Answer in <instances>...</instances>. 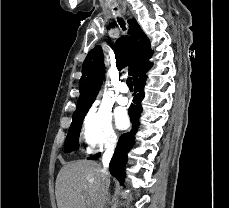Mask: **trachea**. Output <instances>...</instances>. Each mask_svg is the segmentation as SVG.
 <instances>
[{
	"instance_id": "1",
	"label": "trachea",
	"mask_w": 229,
	"mask_h": 208,
	"mask_svg": "<svg viewBox=\"0 0 229 208\" xmlns=\"http://www.w3.org/2000/svg\"><path fill=\"white\" fill-rule=\"evenodd\" d=\"M118 22H119V24L121 25V27H122L123 29H125L124 20H123L122 18H118ZM126 83H127V86L129 87V89H130L131 91H133V81H132V78H131V77L127 78Z\"/></svg>"
}]
</instances>
